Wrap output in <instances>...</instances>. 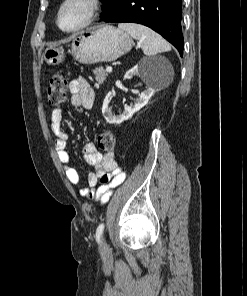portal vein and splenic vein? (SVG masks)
<instances>
[{
  "label": "portal vein and splenic vein",
  "mask_w": 247,
  "mask_h": 296,
  "mask_svg": "<svg viewBox=\"0 0 247 296\" xmlns=\"http://www.w3.org/2000/svg\"><path fill=\"white\" fill-rule=\"evenodd\" d=\"M106 71H107V72H111V71H112V66H107V67H106Z\"/></svg>",
  "instance_id": "portal-vein-and-splenic-vein-1"
}]
</instances>
